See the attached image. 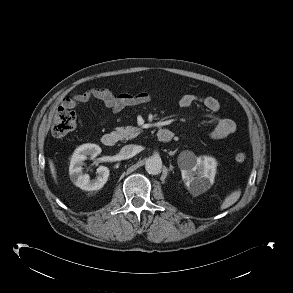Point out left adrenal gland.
Here are the masks:
<instances>
[{
	"mask_svg": "<svg viewBox=\"0 0 293 293\" xmlns=\"http://www.w3.org/2000/svg\"><path fill=\"white\" fill-rule=\"evenodd\" d=\"M178 151V149L174 150V151H170L169 155H174L176 152Z\"/></svg>",
	"mask_w": 293,
	"mask_h": 293,
	"instance_id": "1",
	"label": "left adrenal gland"
}]
</instances>
